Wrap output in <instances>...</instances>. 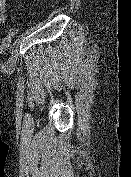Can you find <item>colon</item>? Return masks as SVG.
<instances>
[{"label":"colon","mask_w":131,"mask_h":177,"mask_svg":"<svg viewBox=\"0 0 131 177\" xmlns=\"http://www.w3.org/2000/svg\"><path fill=\"white\" fill-rule=\"evenodd\" d=\"M17 31L15 29H10L4 37L0 40V54L5 53L11 46Z\"/></svg>","instance_id":"obj_1"}]
</instances>
